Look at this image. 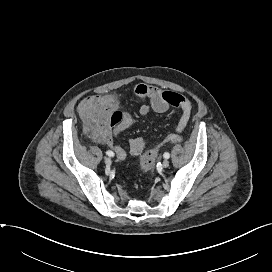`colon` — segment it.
Returning a JSON list of instances; mask_svg holds the SVG:
<instances>
[{"label": "colon", "instance_id": "colon-1", "mask_svg": "<svg viewBox=\"0 0 272 272\" xmlns=\"http://www.w3.org/2000/svg\"><path fill=\"white\" fill-rule=\"evenodd\" d=\"M79 112L85 126L94 136L103 135L109 127L123 121V114L115 108L114 101L103 96H87L79 104ZM182 136L178 133L169 134L161 144L179 143ZM157 155V149L146 152L140 160V167L147 172L152 169Z\"/></svg>", "mask_w": 272, "mask_h": 272}]
</instances>
